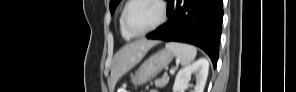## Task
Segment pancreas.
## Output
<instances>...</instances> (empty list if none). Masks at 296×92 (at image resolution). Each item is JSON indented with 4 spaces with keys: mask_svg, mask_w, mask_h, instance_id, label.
Masks as SVG:
<instances>
[{
    "mask_svg": "<svg viewBox=\"0 0 296 92\" xmlns=\"http://www.w3.org/2000/svg\"><path fill=\"white\" fill-rule=\"evenodd\" d=\"M169 77L168 76H164V77H162V78H160V79H156L155 81H154V84H155V86L156 87H158V88H162V87H165L167 84H168V82H169ZM153 83L151 82V85H152Z\"/></svg>",
    "mask_w": 296,
    "mask_h": 92,
    "instance_id": "1",
    "label": "pancreas"
}]
</instances>
